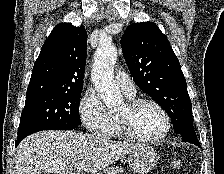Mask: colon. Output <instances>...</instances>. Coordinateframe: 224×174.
Wrapping results in <instances>:
<instances>
[{"label":"colon","instance_id":"obj_1","mask_svg":"<svg viewBox=\"0 0 224 174\" xmlns=\"http://www.w3.org/2000/svg\"><path fill=\"white\" fill-rule=\"evenodd\" d=\"M183 167L182 161L177 159V158H173L170 161V168L173 171H180Z\"/></svg>","mask_w":224,"mask_h":174}]
</instances>
